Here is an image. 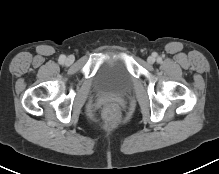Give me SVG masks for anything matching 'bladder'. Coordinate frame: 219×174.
<instances>
[{
  "instance_id": "1",
  "label": "bladder",
  "mask_w": 219,
  "mask_h": 174,
  "mask_svg": "<svg viewBox=\"0 0 219 174\" xmlns=\"http://www.w3.org/2000/svg\"><path fill=\"white\" fill-rule=\"evenodd\" d=\"M132 83L133 76L119 57L107 60L96 76V86L105 92L124 94L131 88Z\"/></svg>"
}]
</instances>
